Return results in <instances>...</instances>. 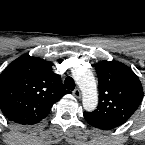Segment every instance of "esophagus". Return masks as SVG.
I'll return each mask as SVG.
<instances>
[{
    "label": "esophagus",
    "mask_w": 145,
    "mask_h": 145,
    "mask_svg": "<svg viewBox=\"0 0 145 145\" xmlns=\"http://www.w3.org/2000/svg\"><path fill=\"white\" fill-rule=\"evenodd\" d=\"M73 95L76 97V98H81V91L79 89H75L73 91Z\"/></svg>",
    "instance_id": "1"
}]
</instances>
